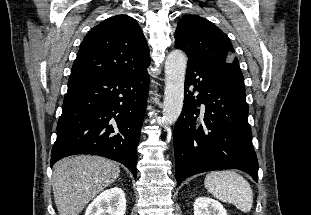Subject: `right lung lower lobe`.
I'll return each mask as SVG.
<instances>
[{"instance_id":"right-lung-lower-lobe-1","label":"right lung lower lobe","mask_w":311,"mask_h":215,"mask_svg":"<svg viewBox=\"0 0 311 215\" xmlns=\"http://www.w3.org/2000/svg\"><path fill=\"white\" fill-rule=\"evenodd\" d=\"M149 75H73L57 123L51 167L63 157L94 154L124 164L136 177Z\"/></svg>"}]
</instances>
